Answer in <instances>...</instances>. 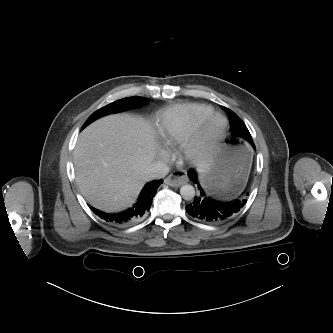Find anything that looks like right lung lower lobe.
I'll use <instances>...</instances> for the list:
<instances>
[{
	"label": "right lung lower lobe",
	"instance_id": "98d812e1",
	"mask_svg": "<svg viewBox=\"0 0 333 333\" xmlns=\"http://www.w3.org/2000/svg\"><path fill=\"white\" fill-rule=\"evenodd\" d=\"M161 183H163L162 180H154L147 183L142 189L137 203L126 211L120 213H105L93 207L90 208L101 219L113 225L132 224L147 214L152 204V198Z\"/></svg>",
	"mask_w": 333,
	"mask_h": 333
}]
</instances>
